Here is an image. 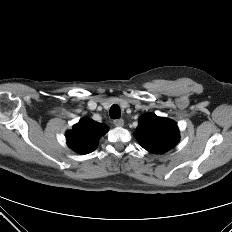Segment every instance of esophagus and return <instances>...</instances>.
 <instances>
[{
	"label": "esophagus",
	"instance_id": "34e87169",
	"mask_svg": "<svg viewBox=\"0 0 232 232\" xmlns=\"http://www.w3.org/2000/svg\"><path fill=\"white\" fill-rule=\"evenodd\" d=\"M113 123L117 127H122L124 125V120L123 119H116L113 121Z\"/></svg>",
	"mask_w": 232,
	"mask_h": 232
}]
</instances>
